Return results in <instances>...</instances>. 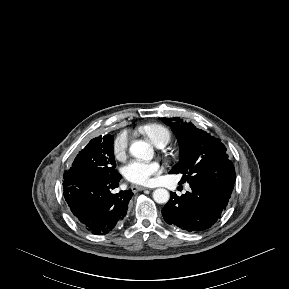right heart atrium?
Masks as SVG:
<instances>
[{
	"label": "right heart atrium",
	"mask_w": 289,
	"mask_h": 289,
	"mask_svg": "<svg viewBox=\"0 0 289 289\" xmlns=\"http://www.w3.org/2000/svg\"><path fill=\"white\" fill-rule=\"evenodd\" d=\"M129 142L130 136L127 131H122L115 137L113 141V152L116 158L120 160L125 158Z\"/></svg>",
	"instance_id": "d8ad5b80"
}]
</instances>
